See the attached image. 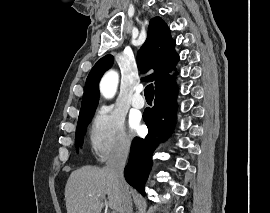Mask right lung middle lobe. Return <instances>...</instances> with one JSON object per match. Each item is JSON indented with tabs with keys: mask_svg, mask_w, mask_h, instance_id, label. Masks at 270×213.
Segmentation results:
<instances>
[{
	"mask_svg": "<svg viewBox=\"0 0 270 213\" xmlns=\"http://www.w3.org/2000/svg\"><path fill=\"white\" fill-rule=\"evenodd\" d=\"M94 113H90L83 117L78 118L77 132H76V147L82 146L83 135L85 133L87 125L90 123Z\"/></svg>",
	"mask_w": 270,
	"mask_h": 213,
	"instance_id": "dd1d6c3e",
	"label": "right lung middle lobe"
}]
</instances>
